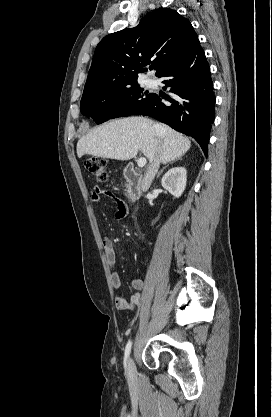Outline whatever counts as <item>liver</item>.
I'll return each mask as SVG.
<instances>
[{
    "label": "liver",
    "instance_id": "6515ba94",
    "mask_svg": "<svg viewBox=\"0 0 272 417\" xmlns=\"http://www.w3.org/2000/svg\"><path fill=\"white\" fill-rule=\"evenodd\" d=\"M190 147L187 137L167 125L144 117H128L104 123L81 137L77 156L87 154L124 161L141 150L150 163L159 154L160 162L166 164L180 158Z\"/></svg>",
    "mask_w": 272,
    "mask_h": 417
}]
</instances>
